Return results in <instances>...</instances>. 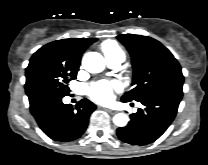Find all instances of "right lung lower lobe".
<instances>
[{
  "label": "right lung lower lobe",
  "mask_w": 208,
  "mask_h": 165,
  "mask_svg": "<svg viewBox=\"0 0 208 165\" xmlns=\"http://www.w3.org/2000/svg\"><path fill=\"white\" fill-rule=\"evenodd\" d=\"M63 96H47L30 104V111L42 131L54 141L69 142L79 138L87 128L96 106L87 99L75 109L62 102Z\"/></svg>",
  "instance_id": "1"
}]
</instances>
